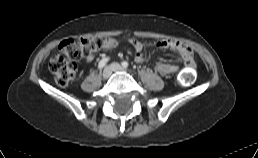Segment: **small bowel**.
<instances>
[{"label": "small bowel", "mask_w": 258, "mask_h": 158, "mask_svg": "<svg viewBox=\"0 0 258 158\" xmlns=\"http://www.w3.org/2000/svg\"><path fill=\"white\" fill-rule=\"evenodd\" d=\"M129 44L133 47L135 51V61L137 63H142L146 60L147 55L144 52V44L140 42L137 39L130 38L128 40ZM118 46V41L114 38H106L104 40V46L103 49L105 50H111ZM155 47L157 49H165L170 48L175 51H177L180 55L179 62L181 64H184L185 66H188L190 68L194 65V54L192 49L185 44L184 42L177 40V39H164L160 40L155 44ZM86 61L89 64H93L95 62V55L93 53H90L86 56ZM179 66L174 64H169L165 62H161L155 65V71L162 75V76H168L170 74L175 73L178 71Z\"/></svg>", "instance_id": "small-bowel-1"}]
</instances>
